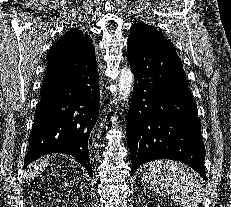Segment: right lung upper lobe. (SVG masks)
<instances>
[{"label":"right lung upper lobe","instance_id":"obj_1","mask_svg":"<svg viewBox=\"0 0 231 207\" xmlns=\"http://www.w3.org/2000/svg\"><path fill=\"white\" fill-rule=\"evenodd\" d=\"M94 55L90 37L74 28L51 46L47 54V69L72 70L86 64Z\"/></svg>","mask_w":231,"mask_h":207}]
</instances>
